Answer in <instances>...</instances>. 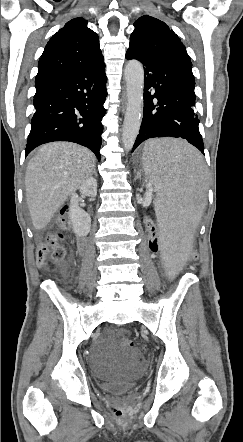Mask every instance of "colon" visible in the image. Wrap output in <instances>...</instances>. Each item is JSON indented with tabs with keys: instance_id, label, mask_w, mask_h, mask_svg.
<instances>
[{
	"instance_id": "obj_1",
	"label": "colon",
	"mask_w": 243,
	"mask_h": 442,
	"mask_svg": "<svg viewBox=\"0 0 243 442\" xmlns=\"http://www.w3.org/2000/svg\"><path fill=\"white\" fill-rule=\"evenodd\" d=\"M69 212V206L66 205L61 210V215L57 220V226L59 229H65L69 226L70 220L67 216ZM148 226L145 227V238L148 242V246L146 248L147 253L155 254L160 251L161 241L159 240L162 231L157 227L153 226L156 224L155 216L147 217ZM198 248L193 246L191 251H189L186 257H181V260H186L187 262L197 263L200 260L198 255ZM65 256V249L63 246V234L59 230L49 231L46 235L45 241L38 247L37 250V261L40 264L46 262L48 258L53 259H62ZM162 256H168V253H162ZM121 344L124 347H132L133 343L130 338L123 336L121 338ZM140 353L144 352V348L139 349ZM112 411L115 416L119 418L126 417V408L122 404H116L112 407Z\"/></svg>"
}]
</instances>
